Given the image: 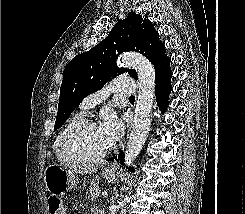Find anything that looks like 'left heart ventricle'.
<instances>
[{
  "instance_id": "1",
  "label": "left heart ventricle",
  "mask_w": 245,
  "mask_h": 214,
  "mask_svg": "<svg viewBox=\"0 0 245 214\" xmlns=\"http://www.w3.org/2000/svg\"><path fill=\"white\" fill-rule=\"evenodd\" d=\"M76 148L86 156H97L109 149L99 126H89L82 130L75 141Z\"/></svg>"
}]
</instances>
